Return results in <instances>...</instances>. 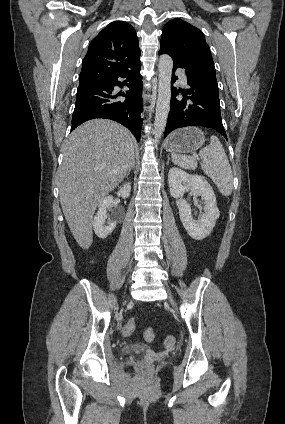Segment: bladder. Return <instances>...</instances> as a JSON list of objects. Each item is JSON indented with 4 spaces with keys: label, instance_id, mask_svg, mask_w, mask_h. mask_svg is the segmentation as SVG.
I'll use <instances>...</instances> for the list:
<instances>
[{
    "label": "bladder",
    "instance_id": "31cf9c89",
    "mask_svg": "<svg viewBox=\"0 0 285 424\" xmlns=\"http://www.w3.org/2000/svg\"><path fill=\"white\" fill-rule=\"evenodd\" d=\"M146 346L141 344H128L123 348L125 354H138L146 350Z\"/></svg>",
    "mask_w": 285,
    "mask_h": 424
}]
</instances>
